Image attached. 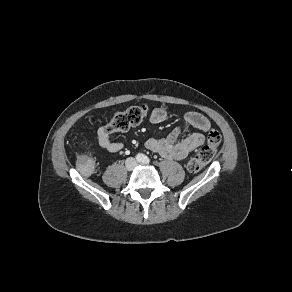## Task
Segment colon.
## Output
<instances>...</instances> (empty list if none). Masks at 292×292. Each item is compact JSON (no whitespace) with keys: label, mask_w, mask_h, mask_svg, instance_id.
Segmentation results:
<instances>
[{"label":"colon","mask_w":292,"mask_h":292,"mask_svg":"<svg viewBox=\"0 0 292 292\" xmlns=\"http://www.w3.org/2000/svg\"><path fill=\"white\" fill-rule=\"evenodd\" d=\"M148 109L144 105L130 106L123 111L117 112L109 121L106 129L108 132H123L129 130L144 121ZM221 143V135L216 129L208 133L207 144L202 147L188 162L191 172H198L207 166L216 154ZM77 166L81 173L90 174L95 169V161L89 153L78 156Z\"/></svg>","instance_id":"5ec220e1"}]
</instances>
